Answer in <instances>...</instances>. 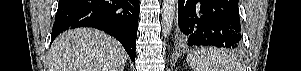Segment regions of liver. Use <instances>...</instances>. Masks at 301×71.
Listing matches in <instances>:
<instances>
[{"mask_svg":"<svg viewBox=\"0 0 301 71\" xmlns=\"http://www.w3.org/2000/svg\"><path fill=\"white\" fill-rule=\"evenodd\" d=\"M127 58L113 37L92 28H78L54 40L49 71H123Z\"/></svg>","mask_w":301,"mask_h":71,"instance_id":"6515ba94","label":"liver"}]
</instances>
